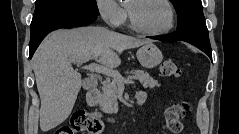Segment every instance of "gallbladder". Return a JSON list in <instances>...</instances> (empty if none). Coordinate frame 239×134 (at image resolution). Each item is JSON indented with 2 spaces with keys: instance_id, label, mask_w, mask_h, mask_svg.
<instances>
[{
  "instance_id": "bac80fb5",
  "label": "gallbladder",
  "mask_w": 239,
  "mask_h": 134,
  "mask_svg": "<svg viewBox=\"0 0 239 134\" xmlns=\"http://www.w3.org/2000/svg\"><path fill=\"white\" fill-rule=\"evenodd\" d=\"M93 83H91L89 80H86L83 84L85 89H90Z\"/></svg>"
}]
</instances>
